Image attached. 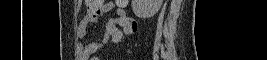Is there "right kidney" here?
<instances>
[{"label": "right kidney", "mask_w": 267, "mask_h": 60, "mask_svg": "<svg viewBox=\"0 0 267 60\" xmlns=\"http://www.w3.org/2000/svg\"><path fill=\"white\" fill-rule=\"evenodd\" d=\"M163 0H132V10L138 18L153 17L160 9Z\"/></svg>", "instance_id": "ca27d5eb"}]
</instances>
